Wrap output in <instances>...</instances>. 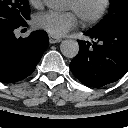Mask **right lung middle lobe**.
<instances>
[{
    "label": "right lung middle lobe",
    "instance_id": "1",
    "mask_svg": "<svg viewBox=\"0 0 128 128\" xmlns=\"http://www.w3.org/2000/svg\"><path fill=\"white\" fill-rule=\"evenodd\" d=\"M29 18L28 0H0V25L22 26Z\"/></svg>",
    "mask_w": 128,
    "mask_h": 128
}]
</instances>
